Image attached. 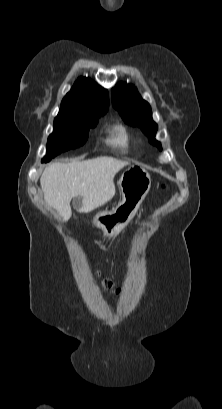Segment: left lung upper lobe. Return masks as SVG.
I'll return each instance as SVG.
<instances>
[{
  "mask_svg": "<svg viewBox=\"0 0 222 409\" xmlns=\"http://www.w3.org/2000/svg\"><path fill=\"white\" fill-rule=\"evenodd\" d=\"M114 107L120 108L123 120L132 126H139L152 144L161 150L160 142L155 140L157 124L153 122L150 105L141 98L137 90L126 83H119L112 91Z\"/></svg>",
  "mask_w": 222,
  "mask_h": 409,
  "instance_id": "1",
  "label": "left lung upper lobe"
}]
</instances>
